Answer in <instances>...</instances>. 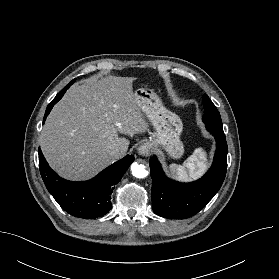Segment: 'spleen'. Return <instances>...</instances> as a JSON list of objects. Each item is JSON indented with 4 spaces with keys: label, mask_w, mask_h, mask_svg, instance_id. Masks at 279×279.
<instances>
[{
    "label": "spleen",
    "mask_w": 279,
    "mask_h": 279,
    "mask_svg": "<svg viewBox=\"0 0 279 279\" xmlns=\"http://www.w3.org/2000/svg\"><path fill=\"white\" fill-rule=\"evenodd\" d=\"M206 153L202 148H197L183 165L171 164L170 171L180 180H188L202 174L207 169Z\"/></svg>",
    "instance_id": "obj_1"
}]
</instances>
